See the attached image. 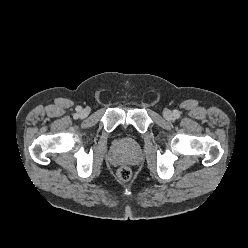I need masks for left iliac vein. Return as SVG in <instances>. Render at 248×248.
I'll return each mask as SVG.
<instances>
[{"label":"left iliac vein","mask_w":248,"mask_h":248,"mask_svg":"<svg viewBox=\"0 0 248 248\" xmlns=\"http://www.w3.org/2000/svg\"><path fill=\"white\" fill-rule=\"evenodd\" d=\"M163 116L167 120H171L173 118L172 112L170 110H168V109L164 110Z\"/></svg>","instance_id":"1"}]
</instances>
